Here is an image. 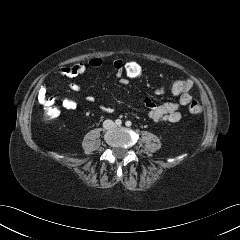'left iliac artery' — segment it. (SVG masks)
Wrapping results in <instances>:
<instances>
[{
    "label": "left iliac artery",
    "mask_w": 240,
    "mask_h": 240,
    "mask_svg": "<svg viewBox=\"0 0 240 240\" xmlns=\"http://www.w3.org/2000/svg\"><path fill=\"white\" fill-rule=\"evenodd\" d=\"M125 125L129 127L132 125V123H131V121H126Z\"/></svg>",
    "instance_id": "obj_1"
}]
</instances>
